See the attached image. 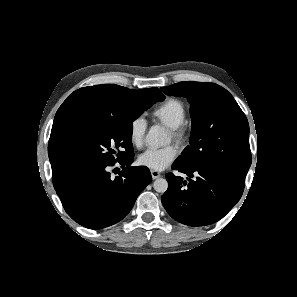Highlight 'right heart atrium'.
<instances>
[{
    "instance_id": "1",
    "label": "right heart atrium",
    "mask_w": 297,
    "mask_h": 297,
    "mask_svg": "<svg viewBox=\"0 0 297 297\" xmlns=\"http://www.w3.org/2000/svg\"><path fill=\"white\" fill-rule=\"evenodd\" d=\"M147 130V122L142 116L134 117L128 126L130 142L135 147H141Z\"/></svg>"
}]
</instances>
